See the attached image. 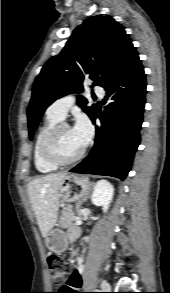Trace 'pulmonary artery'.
<instances>
[{
  "instance_id": "pulmonary-artery-1",
  "label": "pulmonary artery",
  "mask_w": 170,
  "mask_h": 293,
  "mask_svg": "<svg viewBox=\"0 0 170 293\" xmlns=\"http://www.w3.org/2000/svg\"><path fill=\"white\" fill-rule=\"evenodd\" d=\"M95 93L100 97L104 96L103 89H96ZM75 98L73 95H66L55 100L47 109V114L54 116L60 120L67 115L69 108L74 104Z\"/></svg>"
}]
</instances>
